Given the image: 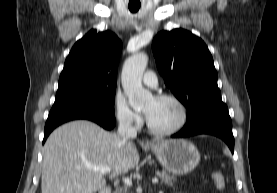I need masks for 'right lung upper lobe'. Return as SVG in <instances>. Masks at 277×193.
Returning a JSON list of instances; mask_svg holds the SVG:
<instances>
[{
  "instance_id": "1",
  "label": "right lung upper lobe",
  "mask_w": 277,
  "mask_h": 193,
  "mask_svg": "<svg viewBox=\"0 0 277 193\" xmlns=\"http://www.w3.org/2000/svg\"><path fill=\"white\" fill-rule=\"evenodd\" d=\"M122 42L110 32L91 30L77 41L66 58L58 91L84 86L116 87Z\"/></svg>"
}]
</instances>
